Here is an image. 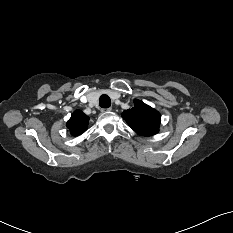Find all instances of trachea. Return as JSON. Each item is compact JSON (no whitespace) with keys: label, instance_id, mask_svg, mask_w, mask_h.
<instances>
[{"label":"trachea","instance_id":"trachea-1","mask_svg":"<svg viewBox=\"0 0 233 233\" xmlns=\"http://www.w3.org/2000/svg\"><path fill=\"white\" fill-rule=\"evenodd\" d=\"M99 104L102 108H109L111 106V100L108 95L103 94L100 97Z\"/></svg>","mask_w":233,"mask_h":233}]
</instances>
